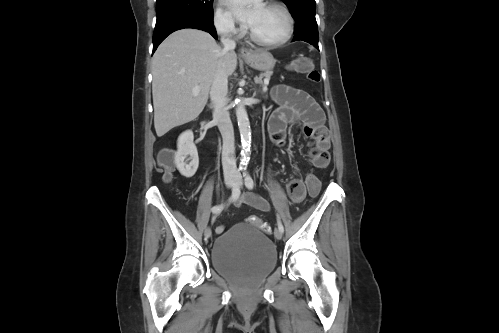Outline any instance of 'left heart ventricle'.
<instances>
[{"mask_svg":"<svg viewBox=\"0 0 499 333\" xmlns=\"http://www.w3.org/2000/svg\"><path fill=\"white\" fill-rule=\"evenodd\" d=\"M250 29L260 39L277 40L286 32V19L281 10L264 6Z\"/></svg>","mask_w":499,"mask_h":333,"instance_id":"left-heart-ventricle-1","label":"left heart ventricle"}]
</instances>
